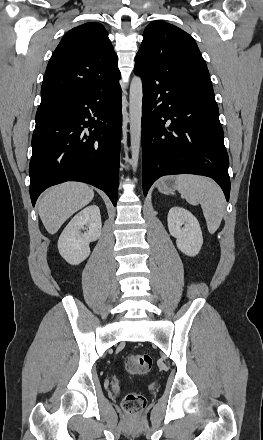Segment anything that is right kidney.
Masks as SVG:
<instances>
[{"label":"right kidney","instance_id":"obj_1","mask_svg":"<svg viewBox=\"0 0 263 440\" xmlns=\"http://www.w3.org/2000/svg\"><path fill=\"white\" fill-rule=\"evenodd\" d=\"M84 225L86 233H81ZM101 215L97 205H90L76 214L63 230L58 240L60 255L70 264L78 265L90 254V242L101 235Z\"/></svg>","mask_w":263,"mask_h":440}]
</instances>
